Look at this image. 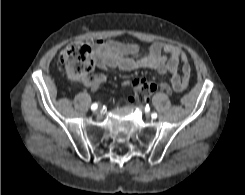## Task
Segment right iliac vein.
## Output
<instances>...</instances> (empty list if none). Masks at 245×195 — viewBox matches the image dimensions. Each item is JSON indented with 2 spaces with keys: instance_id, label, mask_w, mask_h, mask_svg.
<instances>
[{
  "instance_id": "obj_1",
  "label": "right iliac vein",
  "mask_w": 245,
  "mask_h": 195,
  "mask_svg": "<svg viewBox=\"0 0 245 195\" xmlns=\"http://www.w3.org/2000/svg\"><path fill=\"white\" fill-rule=\"evenodd\" d=\"M97 116H99L100 114H101V110L100 109H97V110H95V112H94Z\"/></svg>"
}]
</instances>
